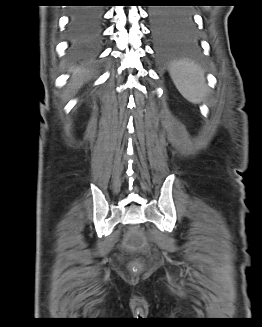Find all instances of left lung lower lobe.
<instances>
[{
  "label": "left lung lower lobe",
  "mask_w": 262,
  "mask_h": 327,
  "mask_svg": "<svg viewBox=\"0 0 262 327\" xmlns=\"http://www.w3.org/2000/svg\"><path fill=\"white\" fill-rule=\"evenodd\" d=\"M157 52L163 56L197 55L200 42L192 14L181 8L153 7L149 12Z\"/></svg>",
  "instance_id": "left-lung-lower-lobe-1"
}]
</instances>
